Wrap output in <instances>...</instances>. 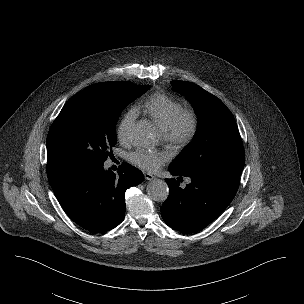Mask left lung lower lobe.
<instances>
[{"mask_svg": "<svg viewBox=\"0 0 304 304\" xmlns=\"http://www.w3.org/2000/svg\"><path fill=\"white\" fill-rule=\"evenodd\" d=\"M169 171L175 178L165 179L170 194L161 207V215L171 228L196 232L214 221L233 200L240 177L222 173L183 174L173 166ZM181 176H188L191 183L180 187Z\"/></svg>", "mask_w": 304, "mask_h": 304, "instance_id": "1", "label": "left lung lower lobe"}]
</instances>
